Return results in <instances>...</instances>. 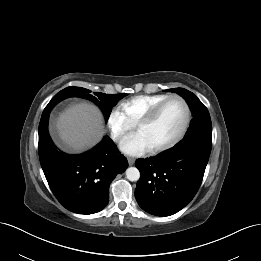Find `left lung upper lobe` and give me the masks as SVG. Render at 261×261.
Instances as JSON below:
<instances>
[{"label":"left lung upper lobe","mask_w":261,"mask_h":261,"mask_svg":"<svg viewBox=\"0 0 261 261\" xmlns=\"http://www.w3.org/2000/svg\"><path fill=\"white\" fill-rule=\"evenodd\" d=\"M165 91L179 94L190 107L193 119L184 138L198 135L212 137V124L209 112L194 93L183 88H173Z\"/></svg>","instance_id":"obj_1"}]
</instances>
